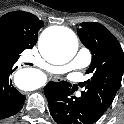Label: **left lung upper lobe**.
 <instances>
[{
  "instance_id": "obj_1",
  "label": "left lung upper lobe",
  "mask_w": 124,
  "mask_h": 124,
  "mask_svg": "<svg viewBox=\"0 0 124 124\" xmlns=\"http://www.w3.org/2000/svg\"><path fill=\"white\" fill-rule=\"evenodd\" d=\"M82 44L92 53V62L86 71L92 77L82 83L87 91L82 92L102 116L112 103L122 80L124 53L114 35L96 22L81 24L77 30Z\"/></svg>"
}]
</instances>
